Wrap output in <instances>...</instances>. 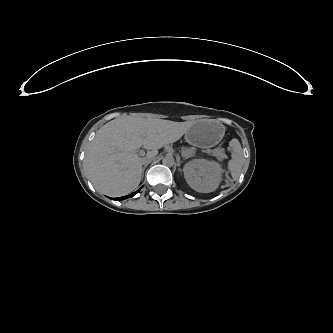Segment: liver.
I'll list each match as a JSON object with an SVG mask.
<instances>
[{
    "label": "liver",
    "mask_w": 333,
    "mask_h": 333,
    "mask_svg": "<svg viewBox=\"0 0 333 333\" xmlns=\"http://www.w3.org/2000/svg\"><path fill=\"white\" fill-rule=\"evenodd\" d=\"M155 122L145 121L148 127ZM182 133H151L138 136L95 137L85 154V167L93 186L107 194H127L141 181L142 160L154 158L157 149L177 141ZM151 150L142 158L137 152L141 146Z\"/></svg>",
    "instance_id": "6515ba94"
}]
</instances>
